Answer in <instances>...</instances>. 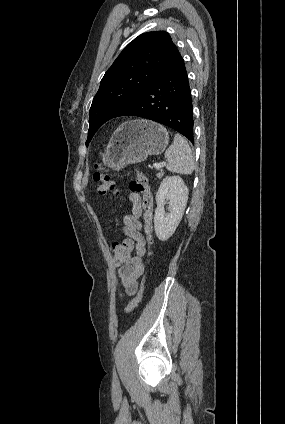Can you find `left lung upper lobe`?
I'll return each instance as SVG.
<instances>
[{"label": "left lung upper lobe", "instance_id": "left-lung-upper-lobe-1", "mask_svg": "<svg viewBox=\"0 0 285 424\" xmlns=\"http://www.w3.org/2000/svg\"><path fill=\"white\" fill-rule=\"evenodd\" d=\"M175 48L167 32L154 31L139 35L123 49L94 96L86 146L105 122L114 118L160 75Z\"/></svg>", "mask_w": 285, "mask_h": 424}]
</instances>
